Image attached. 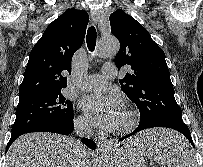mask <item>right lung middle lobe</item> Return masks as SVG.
<instances>
[{"instance_id":"1","label":"right lung middle lobe","mask_w":203,"mask_h":167,"mask_svg":"<svg viewBox=\"0 0 203 167\" xmlns=\"http://www.w3.org/2000/svg\"><path fill=\"white\" fill-rule=\"evenodd\" d=\"M73 119V105L60 91L42 94L19 102L11 137L35 128Z\"/></svg>"}]
</instances>
